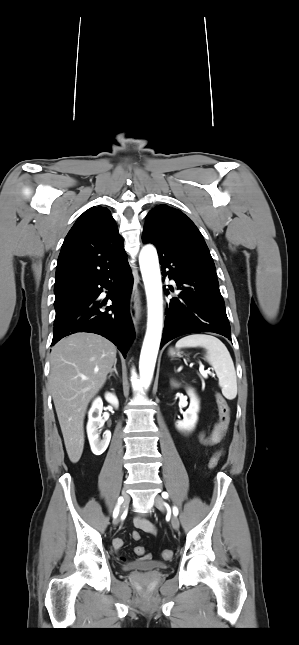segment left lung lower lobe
<instances>
[{"label": "left lung lower lobe", "mask_w": 299, "mask_h": 645, "mask_svg": "<svg viewBox=\"0 0 299 645\" xmlns=\"http://www.w3.org/2000/svg\"><path fill=\"white\" fill-rule=\"evenodd\" d=\"M144 243L157 247L162 274L173 279L181 290L167 305L161 348L176 337L197 332H214L231 340L225 303L210 253L181 240Z\"/></svg>", "instance_id": "left-lung-lower-lobe-1"}]
</instances>
